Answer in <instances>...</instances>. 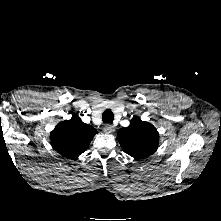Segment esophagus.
Returning <instances> with one entry per match:
<instances>
[{
	"mask_svg": "<svg viewBox=\"0 0 221 221\" xmlns=\"http://www.w3.org/2000/svg\"><path fill=\"white\" fill-rule=\"evenodd\" d=\"M104 131L106 132V133H113L114 131H115V128H114V126H112V125H110V124H106L105 126H104Z\"/></svg>",
	"mask_w": 221,
	"mask_h": 221,
	"instance_id": "34e87169",
	"label": "esophagus"
}]
</instances>
